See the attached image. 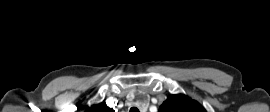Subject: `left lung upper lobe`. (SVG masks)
I'll use <instances>...</instances> for the list:
<instances>
[{
  "label": "left lung upper lobe",
  "mask_w": 270,
  "mask_h": 112,
  "mask_svg": "<svg viewBox=\"0 0 270 112\" xmlns=\"http://www.w3.org/2000/svg\"><path fill=\"white\" fill-rule=\"evenodd\" d=\"M159 112H206V110L185 95H171L160 106Z\"/></svg>",
  "instance_id": "obj_1"
}]
</instances>
